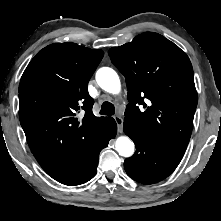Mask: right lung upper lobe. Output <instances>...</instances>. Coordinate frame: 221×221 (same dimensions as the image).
Returning <instances> with one entry per match:
<instances>
[{"label":"right lung upper lobe","mask_w":221,"mask_h":221,"mask_svg":"<svg viewBox=\"0 0 221 221\" xmlns=\"http://www.w3.org/2000/svg\"><path fill=\"white\" fill-rule=\"evenodd\" d=\"M104 52L75 43H54L25 69L19 85V118L36 160L49 174L76 157L108 117L92 113L88 82ZM82 111L81 120L76 113Z\"/></svg>","instance_id":"1"}]
</instances>
